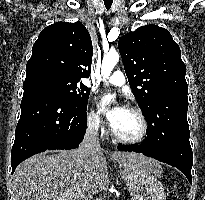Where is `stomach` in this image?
Returning <instances> with one entry per match:
<instances>
[{
  "label": "stomach",
  "instance_id": "1",
  "mask_svg": "<svg viewBox=\"0 0 205 200\" xmlns=\"http://www.w3.org/2000/svg\"><path fill=\"white\" fill-rule=\"evenodd\" d=\"M117 172L124 179L132 200H166L154 169H118Z\"/></svg>",
  "mask_w": 205,
  "mask_h": 200
}]
</instances>
